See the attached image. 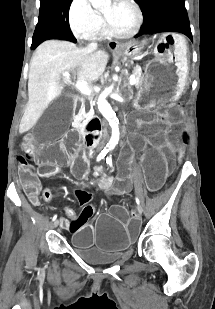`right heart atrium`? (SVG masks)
Masks as SVG:
<instances>
[{"label":"right heart atrium","instance_id":"1","mask_svg":"<svg viewBox=\"0 0 215 309\" xmlns=\"http://www.w3.org/2000/svg\"><path fill=\"white\" fill-rule=\"evenodd\" d=\"M100 14L88 7V0H73L69 11V28L77 38H86L91 29H97Z\"/></svg>","mask_w":215,"mask_h":309}]
</instances>
